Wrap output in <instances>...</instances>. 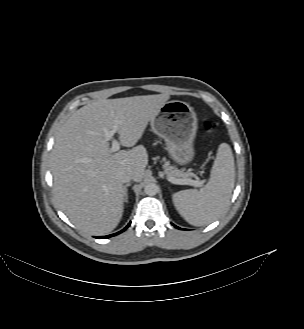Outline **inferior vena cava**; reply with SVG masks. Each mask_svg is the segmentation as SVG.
Instances as JSON below:
<instances>
[{"mask_svg": "<svg viewBox=\"0 0 304 329\" xmlns=\"http://www.w3.org/2000/svg\"><path fill=\"white\" fill-rule=\"evenodd\" d=\"M119 180L122 182V183H127L129 182L130 180L133 179V175L130 171H127V170H123L119 173Z\"/></svg>", "mask_w": 304, "mask_h": 329, "instance_id": "obj_1", "label": "inferior vena cava"}]
</instances>
